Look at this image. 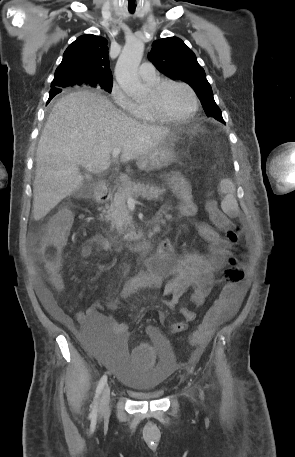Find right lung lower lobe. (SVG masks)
<instances>
[{
	"instance_id": "98d812e1",
	"label": "right lung lower lobe",
	"mask_w": 295,
	"mask_h": 457,
	"mask_svg": "<svg viewBox=\"0 0 295 457\" xmlns=\"http://www.w3.org/2000/svg\"><path fill=\"white\" fill-rule=\"evenodd\" d=\"M60 92H61V90H59V89H51V90H50V96H49L48 102H49L56 94H58V93H60Z\"/></svg>"
}]
</instances>
